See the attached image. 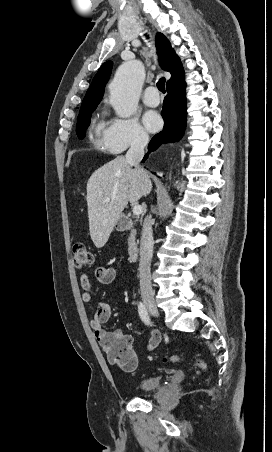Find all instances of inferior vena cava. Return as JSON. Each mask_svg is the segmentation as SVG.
Listing matches in <instances>:
<instances>
[{"mask_svg": "<svg viewBox=\"0 0 272 452\" xmlns=\"http://www.w3.org/2000/svg\"><path fill=\"white\" fill-rule=\"evenodd\" d=\"M149 142V137L146 133L140 132L134 138L130 149L126 153V161L140 170L146 181L149 182L147 173L140 168V162L144 156V148ZM151 189H148L145 193L149 194ZM153 232H152V217L147 215L143 222L142 236L140 241V265H139V277H140V290L143 300H153V290L151 285L150 266L153 256Z\"/></svg>", "mask_w": 272, "mask_h": 452, "instance_id": "inferior-vena-cava-1", "label": "inferior vena cava"}]
</instances>
